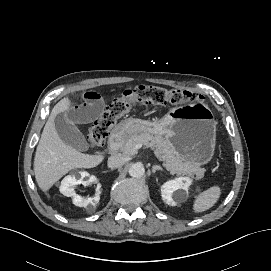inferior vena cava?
<instances>
[{"mask_svg": "<svg viewBox=\"0 0 271 271\" xmlns=\"http://www.w3.org/2000/svg\"><path fill=\"white\" fill-rule=\"evenodd\" d=\"M126 162V158L122 156H111L108 158V167L115 169L121 167Z\"/></svg>", "mask_w": 271, "mask_h": 271, "instance_id": "602c4592", "label": "inferior vena cava"}]
</instances>
